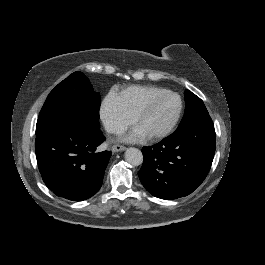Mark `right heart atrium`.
<instances>
[{"mask_svg":"<svg viewBox=\"0 0 265 265\" xmlns=\"http://www.w3.org/2000/svg\"><path fill=\"white\" fill-rule=\"evenodd\" d=\"M100 119L104 129L110 134H119L134 122V117L127 114L114 97H109L103 102Z\"/></svg>","mask_w":265,"mask_h":265,"instance_id":"obj_1","label":"right heart atrium"}]
</instances>
